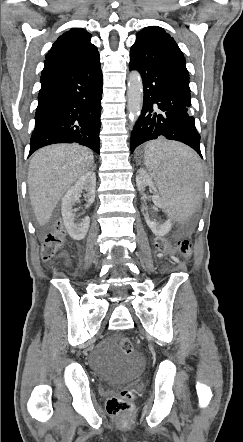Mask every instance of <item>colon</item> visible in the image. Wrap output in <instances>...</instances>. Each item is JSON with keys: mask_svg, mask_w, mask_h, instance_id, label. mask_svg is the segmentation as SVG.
<instances>
[{"mask_svg": "<svg viewBox=\"0 0 243 442\" xmlns=\"http://www.w3.org/2000/svg\"><path fill=\"white\" fill-rule=\"evenodd\" d=\"M172 238V239H171ZM171 240L175 248L167 245ZM66 241L65 232L61 224H57L54 230L46 236V239L41 248V257L44 261L51 260L55 257L58 250L64 245ZM156 251L162 253L166 258H191L192 253L197 251L196 243L191 236H174L171 233H159L154 238ZM174 251V252H173ZM119 348L124 354L133 352V344L129 338L123 337L119 341ZM133 392L130 389L121 390L116 395L112 396L106 404V410L109 415L119 418L127 419L131 414V402Z\"/></svg>", "mask_w": 243, "mask_h": 442, "instance_id": "colon-1", "label": "colon"}]
</instances>
